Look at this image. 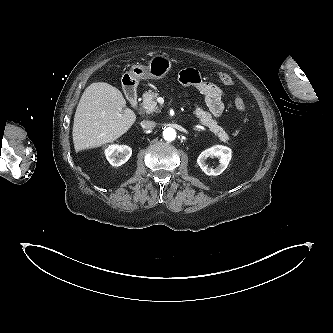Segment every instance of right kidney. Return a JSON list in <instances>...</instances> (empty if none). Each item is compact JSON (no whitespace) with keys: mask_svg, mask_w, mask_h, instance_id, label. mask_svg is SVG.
I'll list each match as a JSON object with an SVG mask.
<instances>
[{"mask_svg":"<svg viewBox=\"0 0 333 333\" xmlns=\"http://www.w3.org/2000/svg\"><path fill=\"white\" fill-rule=\"evenodd\" d=\"M108 162L115 167L121 166L132 155V149L127 145L111 144L104 150Z\"/></svg>","mask_w":333,"mask_h":333,"instance_id":"right-kidney-1","label":"right kidney"}]
</instances>
